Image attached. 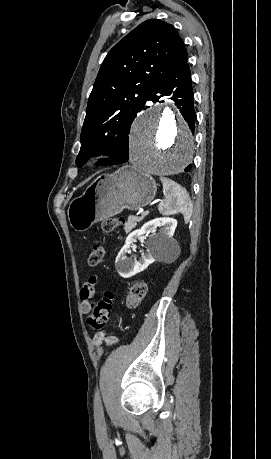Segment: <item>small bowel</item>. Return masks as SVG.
I'll use <instances>...</instances> for the list:
<instances>
[{"instance_id": "1", "label": "small bowel", "mask_w": 271, "mask_h": 459, "mask_svg": "<svg viewBox=\"0 0 271 459\" xmlns=\"http://www.w3.org/2000/svg\"><path fill=\"white\" fill-rule=\"evenodd\" d=\"M97 283H98V276L91 275L85 280L80 290V298L82 301V311L86 315H88L91 310V306L93 303L92 298L94 297ZM116 342H117L116 337L106 336L104 332H97L93 335V343L97 347H99L102 344H105L106 346H112Z\"/></svg>"}]
</instances>
